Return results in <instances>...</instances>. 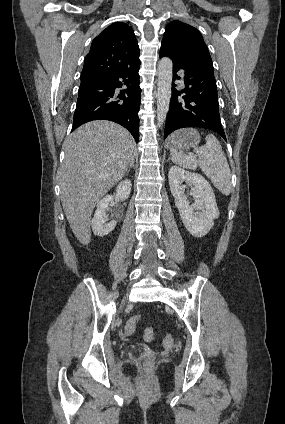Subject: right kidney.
<instances>
[{
	"mask_svg": "<svg viewBox=\"0 0 285 424\" xmlns=\"http://www.w3.org/2000/svg\"><path fill=\"white\" fill-rule=\"evenodd\" d=\"M131 186L132 184L129 179L121 181L116 188L115 197L121 201L128 199L131 192ZM113 202L114 196L106 195L97 203V209L91 221V225L93 233L99 237L108 235L116 227L117 222L115 220L105 224L108 218L106 215V210L108 209L109 205L113 204Z\"/></svg>",
	"mask_w": 285,
	"mask_h": 424,
	"instance_id": "ca27d5eb",
	"label": "right kidney"
}]
</instances>
